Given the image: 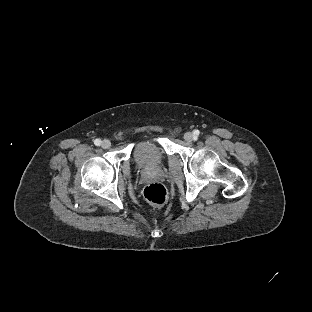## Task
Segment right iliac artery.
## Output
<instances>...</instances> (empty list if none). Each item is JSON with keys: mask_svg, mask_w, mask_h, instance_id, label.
<instances>
[{"mask_svg": "<svg viewBox=\"0 0 312 312\" xmlns=\"http://www.w3.org/2000/svg\"><path fill=\"white\" fill-rule=\"evenodd\" d=\"M94 144L97 145V146H99V145L101 144V140H100V139H96V140L94 141Z\"/></svg>", "mask_w": 312, "mask_h": 312, "instance_id": "1", "label": "right iliac artery"}]
</instances>
